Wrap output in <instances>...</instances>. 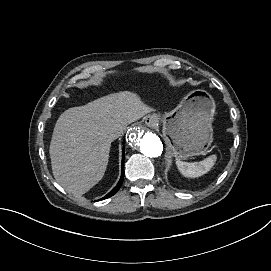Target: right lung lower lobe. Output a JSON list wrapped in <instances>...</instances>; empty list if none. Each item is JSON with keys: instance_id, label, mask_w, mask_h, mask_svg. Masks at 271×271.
<instances>
[{"instance_id": "obj_1", "label": "right lung lower lobe", "mask_w": 271, "mask_h": 271, "mask_svg": "<svg viewBox=\"0 0 271 271\" xmlns=\"http://www.w3.org/2000/svg\"><path fill=\"white\" fill-rule=\"evenodd\" d=\"M122 157H123V159H122V175H121V178H120L118 184L116 185V187L102 199H107V198L113 196L114 194H116L117 191L120 189V187L122 185V182H123V179H124V148H123Z\"/></svg>"}]
</instances>
